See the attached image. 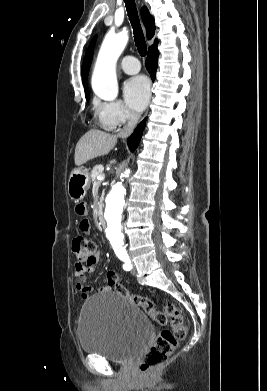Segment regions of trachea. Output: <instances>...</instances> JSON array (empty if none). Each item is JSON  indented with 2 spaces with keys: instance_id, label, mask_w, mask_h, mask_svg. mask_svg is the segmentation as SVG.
Instances as JSON below:
<instances>
[{
  "instance_id": "obj_1",
  "label": "trachea",
  "mask_w": 267,
  "mask_h": 391,
  "mask_svg": "<svg viewBox=\"0 0 267 391\" xmlns=\"http://www.w3.org/2000/svg\"><path fill=\"white\" fill-rule=\"evenodd\" d=\"M128 17L133 28L134 41L141 56H146L147 45L140 25L138 11L134 0H124Z\"/></svg>"
}]
</instances>
